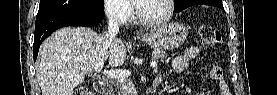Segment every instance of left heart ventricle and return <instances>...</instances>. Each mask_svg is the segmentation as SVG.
<instances>
[{
    "instance_id": "b2bd125f",
    "label": "left heart ventricle",
    "mask_w": 277,
    "mask_h": 95,
    "mask_svg": "<svg viewBox=\"0 0 277 95\" xmlns=\"http://www.w3.org/2000/svg\"><path fill=\"white\" fill-rule=\"evenodd\" d=\"M138 9L141 16L156 19L166 15L168 6L165 0H141Z\"/></svg>"
}]
</instances>
